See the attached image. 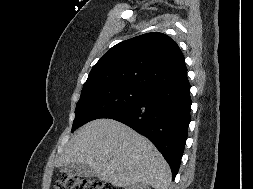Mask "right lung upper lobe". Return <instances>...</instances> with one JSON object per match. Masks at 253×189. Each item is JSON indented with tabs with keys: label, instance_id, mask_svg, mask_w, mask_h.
Masks as SVG:
<instances>
[{
	"label": "right lung upper lobe",
	"instance_id": "cb5924a9",
	"mask_svg": "<svg viewBox=\"0 0 253 189\" xmlns=\"http://www.w3.org/2000/svg\"><path fill=\"white\" fill-rule=\"evenodd\" d=\"M187 79L184 56L169 36L146 33L113 46L92 67L82 92L108 86L148 89Z\"/></svg>",
	"mask_w": 253,
	"mask_h": 189
}]
</instances>
